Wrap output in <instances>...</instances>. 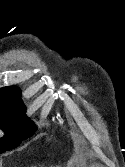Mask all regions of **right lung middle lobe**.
<instances>
[{"label":"right lung middle lobe","mask_w":125,"mask_h":167,"mask_svg":"<svg viewBox=\"0 0 125 167\" xmlns=\"http://www.w3.org/2000/svg\"><path fill=\"white\" fill-rule=\"evenodd\" d=\"M25 111L21 99L0 98V128L6 133L5 137L0 138V144L17 147L22 140L35 133L37 127L28 119Z\"/></svg>","instance_id":"obj_1"}]
</instances>
